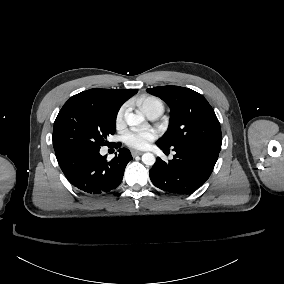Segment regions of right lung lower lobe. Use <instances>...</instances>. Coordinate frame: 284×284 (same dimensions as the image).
I'll use <instances>...</instances> for the list:
<instances>
[{
    "mask_svg": "<svg viewBox=\"0 0 284 284\" xmlns=\"http://www.w3.org/2000/svg\"><path fill=\"white\" fill-rule=\"evenodd\" d=\"M116 148L120 143H114ZM100 148H89L67 152L57 157L60 168L69 182L84 193L98 195L112 192L123 178L127 163L132 160L126 148L111 161L101 156Z\"/></svg>",
    "mask_w": 284,
    "mask_h": 284,
    "instance_id": "98d812e1",
    "label": "right lung lower lobe"
}]
</instances>
